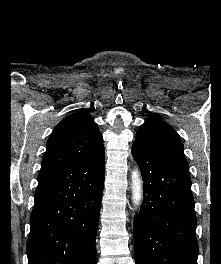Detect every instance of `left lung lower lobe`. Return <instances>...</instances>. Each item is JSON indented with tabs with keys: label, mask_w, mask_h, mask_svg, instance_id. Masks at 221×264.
I'll use <instances>...</instances> for the list:
<instances>
[{
	"label": "left lung lower lobe",
	"mask_w": 221,
	"mask_h": 264,
	"mask_svg": "<svg viewBox=\"0 0 221 264\" xmlns=\"http://www.w3.org/2000/svg\"><path fill=\"white\" fill-rule=\"evenodd\" d=\"M143 177V203L134 221L136 264H197L196 215L187 166L133 144Z\"/></svg>",
	"instance_id": "left-lung-lower-lobe-1"
}]
</instances>
